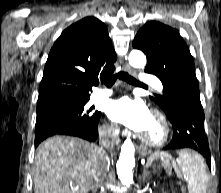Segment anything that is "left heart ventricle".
Returning a JSON list of instances; mask_svg holds the SVG:
<instances>
[{"instance_id":"obj_1","label":"left heart ventricle","mask_w":221,"mask_h":193,"mask_svg":"<svg viewBox=\"0 0 221 193\" xmlns=\"http://www.w3.org/2000/svg\"><path fill=\"white\" fill-rule=\"evenodd\" d=\"M140 132L153 140H157L162 135V126L158 119L150 114Z\"/></svg>"}]
</instances>
